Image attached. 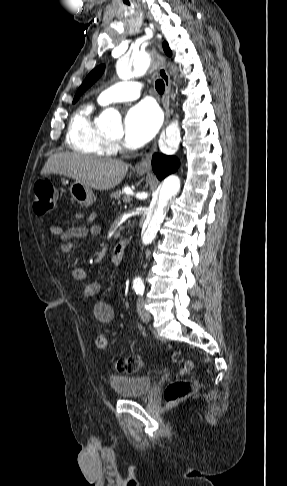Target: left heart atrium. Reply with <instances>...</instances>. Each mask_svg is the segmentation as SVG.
I'll return each instance as SVG.
<instances>
[{
  "label": "left heart atrium",
  "instance_id": "39dd6f15",
  "mask_svg": "<svg viewBox=\"0 0 287 486\" xmlns=\"http://www.w3.org/2000/svg\"><path fill=\"white\" fill-rule=\"evenodd\" d=\"M161 116L158 109L149 102L132 107L124 120V143L129 148H139L150 141L158 131Z\"/></svg>",
  "mask_w": 287,
  "mask_h": 486
}]
</instances>
